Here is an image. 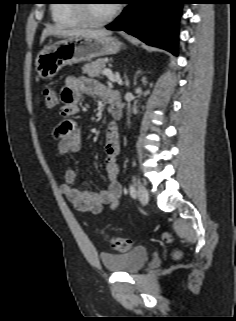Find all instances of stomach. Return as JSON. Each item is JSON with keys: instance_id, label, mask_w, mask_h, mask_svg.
Instances as JSON below:
<instances>
[{"instance_id": "stomach-1", "label": "stomach", "mask_w": 236, "mask_h": 321, "mask_svg": "<svg viewBox=\"0 0 236 321\" xmlns=\"http://www.w3.org/2000/svg\"><path fill=\"white\" fill-rule=\"evenodd\" d=\"M122 47L123 43L111 36L99 38L69 36L40 51L36 58V71L42 79H50L66 65L116 54Z\"/></svg>"}]
</instances>
